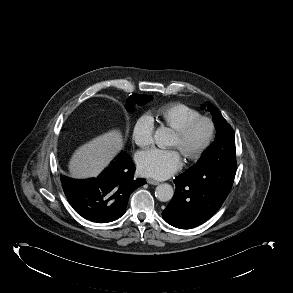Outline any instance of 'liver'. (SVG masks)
<instances>
[{
    "label": "liver",
    "instance_id": "obj_1",
    "mask_svg": "<svg viewBox=\"0 0 293 293\" xmlns=\"http://www.w3.org/2000/svg\"><path fill=\"white\" fill-rule=\"evenodd\" d=\"M124 146L120 130L113 129L80 146L69 162L70 176L75 179L96 177Z\"/></svg>",
    "mask_w": 293,
    "mask_h": 293
}]
</instances>
